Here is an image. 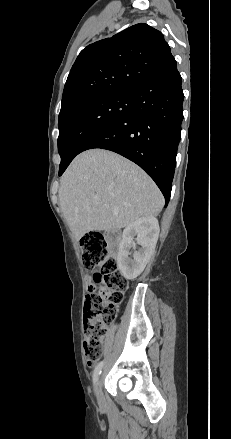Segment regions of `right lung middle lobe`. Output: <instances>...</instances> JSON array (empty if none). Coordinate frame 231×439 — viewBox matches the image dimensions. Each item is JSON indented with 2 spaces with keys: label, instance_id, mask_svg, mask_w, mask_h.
I'll list each match as a JSON object with an SVG mask.
<instances>
[{
  "label": "right lung middle lobe",
  "instance_id": "1",
  "mask_svg": "<svg viewBox=\"0 0 231 439\" xmlns=\"http://www.w3.org/2000/svg\"><path fill=\"white\" fill-rule=\"evenodd\" d=\"M133 93L106 94L84 100L59 114V172L99 130L133 108Z\"/></svg>",
  "mask_w": 231,
  "mask_h": 439
}]
</instances>
